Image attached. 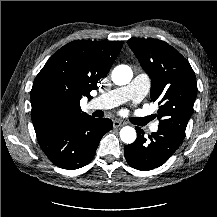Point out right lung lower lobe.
I'll list each match as a JSON object with an SVG mask.
<instances>
[{
  "label": "right lung lower lobe",
  "mask_w": 217,
  "mask_h": 217,
  "mask_svg": "<svg viewBox=\"0 0 217 217\" xmlns=\"http://www.w3.org/2000/svg\"><path fill=\"white\" fill-rule=\"evenodd\" d=\"M112 127L113 123L108 118L96 119L87 115L36 135L41 149L52 163L73 170L93 159L101 138Z\"/></svg>",
  "instance_id": "98d812e1"
}]
</instances>
